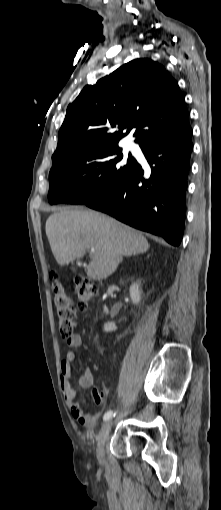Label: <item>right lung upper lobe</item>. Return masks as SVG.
I'll return each mask as SVG.
<instances>
[{
  "instance_id": "obj_1",
  "label": "right lung upper lobe",
  "mask_w": 221,
  "mask_h": 510,
  "mask_svg": "<svg viewBox=\"0 0 221 510\" xmlns=\"http://www.w3.org/2000/svg\"><path fill=\"white\" fill-rule=\"evenodd\" d=\"M188 125L185 98L176 80L161 64L135 59L85 86L68 106L52 166L75 152L118 146L133 129L141 146Z\"/></svg>"
}]
</instances>
